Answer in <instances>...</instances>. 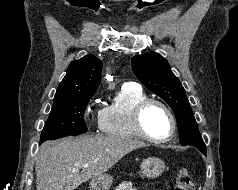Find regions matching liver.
I'll use <instances>...</instances> for the list:
<instances>
[{
    "label": "liver",
    "instance_id": "liver-1",
    "mask_svg": "<svg viewBox=\"0 0 238 190\" xmlns=\"http://www.w3.org/2000/svg\"><path fill=\"white\" fill-rule=\"evenodd\" d=\"M144 146L139 141L113 137L45 142L35 163L36 190H74L89 179L105 174L126 154Z\"/></svg>",
    "mask_w": 238,
    "mask_h": 190
}]
</instances>
